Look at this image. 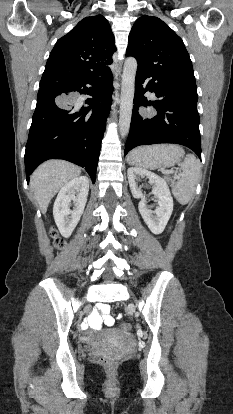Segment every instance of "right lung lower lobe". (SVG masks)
<instances>
[{
	"mask_svg": "<svg viewBox=\"0 0 233 414\" xmlns=\"http://www.w3.org/2000/svg\"><path fill=\"white\" fill-rule=\"evenodd\" d=\"M112 92L111 71L98 77L51 80L40 85L25 150L27 182L40 163L52 158L84 167L95 182ZM77 93L93 97L85 102L88 106L80 107L75 102Z\"/></svg>",
	"mask_w": 233,
	"mask_h": 414,
	"instance_id": "right-lung-lower-lobe-1",
	"label": "right lung lower lobe"
}]
</instances>
